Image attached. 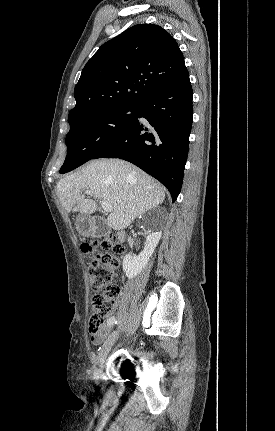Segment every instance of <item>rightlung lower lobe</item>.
<instances>
[{
	"label": "right lung lower lobe",
	"mask_w": 275,
	"mask_h": 431,
	"mask_svg": "<svg viewBox=\"0 0 275 431\" xmlns=\"http://www.w3.org/2000/svg\"><path fill=\"white\" fill-rule=\"evenodd\" d=\"M192 96L186 70L171 85L140 102L134 122L93 159L120 158L135 164L165 185L174 202L188 155Z\"/></svg>",
	"instance_id": "98d812e1"
}]
</instances>
